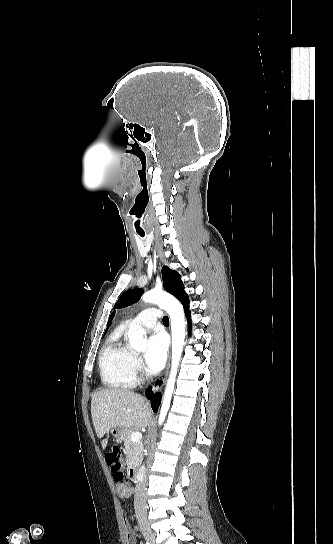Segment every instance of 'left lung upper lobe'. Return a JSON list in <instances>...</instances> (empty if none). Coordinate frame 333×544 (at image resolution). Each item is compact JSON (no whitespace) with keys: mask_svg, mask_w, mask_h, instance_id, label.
<instances>
[{"mask_svg":"<svg viewBox=\"0 0 333 544\" xmlns=\"http://www.w3.org/2000/svg\"><path fill=\"white\" fill-rule=\"evenodd\" d=\"M162 279L165 289L180 300L182 304L189 302L188 295L184 291V286L178 272L164 266L162 268ZM142 294V289H130L124 292L114 305L113 309L127 307L137 302Z\"/></svg>","mask_w":333,"mask_h":544,"instance_id":"obj_1","label":"left lung upper lobe"}]
</instances>
